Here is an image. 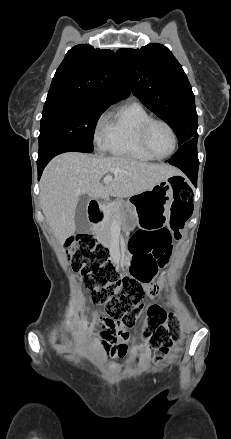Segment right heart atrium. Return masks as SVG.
Here are the masks:
<instances>
[{
    "mask_svg": "<svg viewBox=\"0 0 231 439\" xmlns=\"http://www.w3.org/2000/svg\"><path fill=\"white\" fill-rule=\"evenodd\" d=\"M104 117H100L95 126L94 137L97 142H101L104 137Z\"/></svg>",
    "mask_w": 231,
    "mask_h": 439,
    "instance_id": "obj_1",
    "label": "right heart atrium"
}]
</instances>
